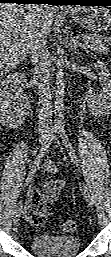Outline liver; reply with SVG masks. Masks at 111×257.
<instances>
[{"instance_id":"1","label":"liver","mask_w":111,"mask_h":257,"mask_svg":"<svg viewBox=\"0 0 111 257\" xmlns=\"http://www.w3.org/2000/svg\"><path fill=\"white\" fill-rule=\"evenodd\" d=\"M53 13L48 5L0 6V70L5 73L18 66L28 55L38 29L52 30Z\"/></svg>"}]
</instances>
